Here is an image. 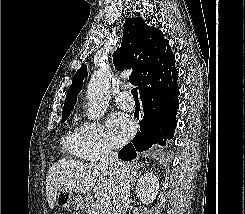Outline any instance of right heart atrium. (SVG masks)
Here are the masks:
<instances>
[{
  "mask_svg": "<svg viewBox=\"0 0 245 214\" xmlns=\"http://www.w3.org/2000/svg\"><path fill=\"white\" fill-rule=\"evenodd\" d=\"M77 131L84 159L96 161L112 153L105 131L99 122L83 121L79 124Z\"/></svg>",
  "mask_w": 245,
  "mask_h": 214,
  "instance_id": "obj_1",
  "label": "right heart atrium"
}]
</instances>
